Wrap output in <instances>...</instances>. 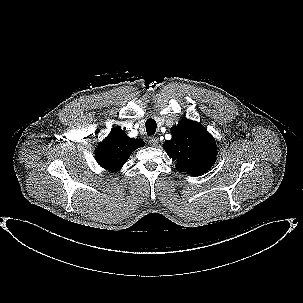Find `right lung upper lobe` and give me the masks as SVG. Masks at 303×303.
Instances as JSON below:
<instances>
[{"label": "right lung upper lobe", "mask_w": 303, "mask_h": 303, "mask_svg": "<svg viewBox=\"0 0 303 303\" xmlns=\"http://www.w3.org/2000/svg\"><path fill=\"white\" fill-rule=\"evenodd\" d=\"M145 145L142 139H131L121 129H113L95 150V158L100 166L110 171H118L137 148Z\"/></svg>", "instance_id": "cb5924a9"}]
</instances>
